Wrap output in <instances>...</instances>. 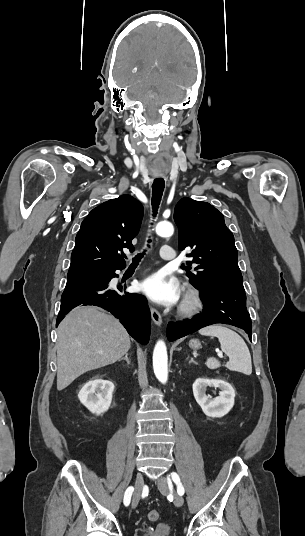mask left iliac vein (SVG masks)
<instances>
[{
    "label": "left iliac vein",
    "instance_id": "obj_1",
    "mask_svg": "<svg viewBox=\"0 0 305 536\" xmlns=\"http://www.w3.org/2000/svg\"><path fill=\"white\" fill-rule=\"evenodd\" d=\"M158 489L160 491V493L162 494H167L168 493V481H167V478L162 476L159 478V481H158ZM184 503V499L182 497V495H179V494H175L174 496V504L178 507L182 506Z\"/></svg>",
    "mask_w": 305,
    "mask_h": 536
}]
</instances>
